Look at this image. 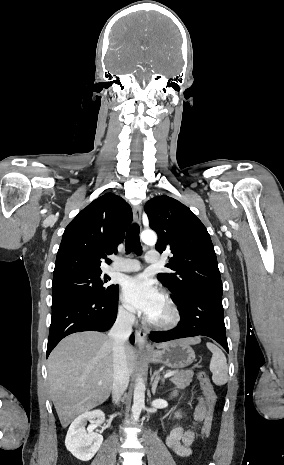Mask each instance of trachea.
I'll list each match as a JSON object with an SVG mask.
<instances>
[{
  "instance_id": "trachea-1",
  "label": "trachea",
  "mask_w": 284,
  "mask_h": 465,
  "mask_svg": "<svg viewBox=\"0 0 284 465\" xmlns=\"http://www.w3.org/2000/svg\"><path fill=\"white\" fill-rule=\"evenodd\" d=\"M139 226L133 223L126 233V253L135 252L138 255L142 253L141 243L139 241Z\"/></svg>"
}]
</instances>
